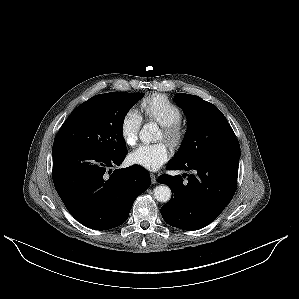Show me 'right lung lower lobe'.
<instances>
[{
	"label": "right lung lower lobe",
	"mask_w": 299,
	"mask_h": 299,
	"mask_svg": "<svg viewBox=\"0 0 299 299\" xmlns=\"http://www.w3.org/2000/svg\"><path fill=\"white\" fill-rule=\"evenodd\" d=\"M127 152L116 156L69 144L53 145V182L70 214L81 224L107 230L123 224L135 199L150 186L143 167L119 166Z\"/></svg>",
	"instance_id": "98d812e1"
}]
</instances>
